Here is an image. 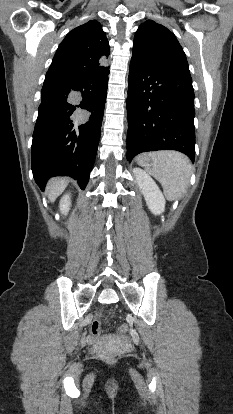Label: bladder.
Segmentation results:
<instances>
[{"label": "bladder", "mask_w": 233, "mask_h": 414, "mask_svg": "<svg viewBox=\"0 0 233 414\" xmlns=\"http://www.w3.org/2000/svg\"><path fill=\"white\" fill-rule=\"evenodd\" d=\"M123 343V340L120 338H116V337H105L103 339V343L102 346L104 348L110 347V346H114V345H120Z\"/></svg>", "instance_id": "31cf9c89"}]
</instances>
